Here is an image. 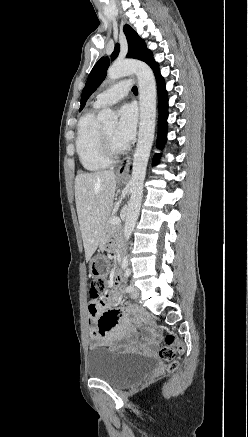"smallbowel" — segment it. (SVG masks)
Here are the masks:
<instances>
[{
    "mask_svg": "<svg viewBox=\"0 0 248 437\" xmlns=\"http://www.w3.org/2000/svg\"><path fill=\"white\" fill-rule=\"evenodd\" d=\"M122 281L115 278V291L101 300H92L88 304L90 348L112 346L124 341L120 348L128 352H142L156 341L157 334L151 327L145 329L139 339L135 326L129 319L130 309H112L110 305L121 298Z\"/></svg>",
    "mask_w": 248,
    "mask_h": 437,
    "instance_id": "1",
    "label": "small bowel"
}]
</instances>
